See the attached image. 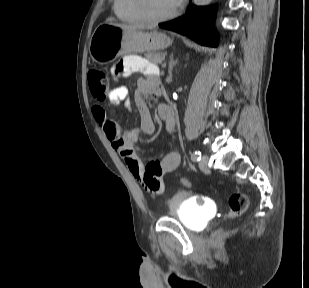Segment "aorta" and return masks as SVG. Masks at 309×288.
Masks as SVG:
<instances>
[{
    "instance_id": "aorta-1",
    "label": "aorta",
    "mask_w": 309,
    "mask_h": 288,
    "mask_svg": "<svg viewBox=\"0 0 309 288\" xmlns=\"http://www.w3.org/2000/svg\"><path fill=\"white\" fill-rule=\"evenodd\" d=\"M212 0H193L194 4L198 6H204L211 2Z\"/></svg>"
}]
</instances>
